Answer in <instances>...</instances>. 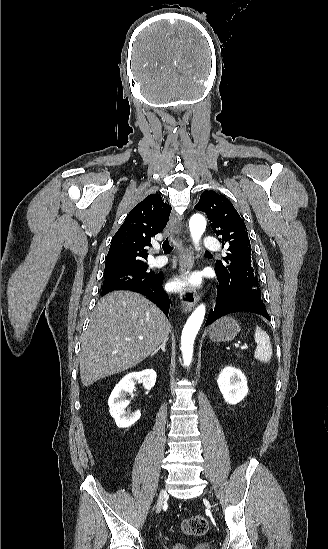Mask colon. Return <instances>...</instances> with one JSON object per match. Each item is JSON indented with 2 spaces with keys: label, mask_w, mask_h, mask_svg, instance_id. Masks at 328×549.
<instances>
[{
  "label": "colon",
  "mask_w": 328,
  "mask_h": 549,
  "mask_svg": "<svg viewBox=\"0 0 328 549\" xmlns=\"http://www.w3.org/2000/svg\"><path fill=\"white\" fill-rule=\"evenodd\" d=\"M208 530V521L202 515H194L184 519L181 531L188 536H202Z\"/></svg>",
  "instance_id": "1"
}]
</instances>
